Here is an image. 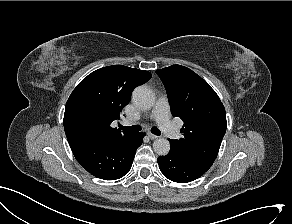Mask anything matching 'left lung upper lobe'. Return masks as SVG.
Returning <instances> with one entry per match:
<instances>
[{
  "instance_id": "5c2ea615",
  "label": "left lung upper lobe",
  "mask_w": 292,
  "mask_h": 224,
  "mask_svg": "<svg viewBox=\"0 0 292 224\" xmlns=\"http://www.w3.org/2000/svg\"><path fill=\"white\" fill-rule=\"evenodd\" d=\"M156 73L166 88L173 116L184 121L182 138L169 139L171 146L210 168L226 132L221 100L204 79L187 67L172 65Z\"/></svg>"
}]
</instances>
